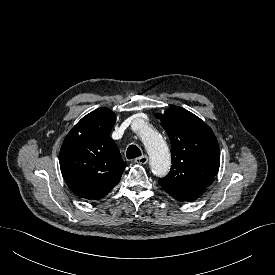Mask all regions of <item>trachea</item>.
Listing matches in <instances>:
<instances>
[{
    "instance_id": "obj_1",
    "label": "trachea",
    "mask_w": 275,
    "mask_h": 275,
    "mask_svg": "<svg viewBox=\"0 0 275 275\" xmlns=\"http://www.w3.org/2000/svg\"><path fill=\"white\" fill-rule=\"evenodd\" d=\"M126 155L128 159H133L141 156V151L136 145H130L127 149Z\"/></svg>"
}]
</instances>
